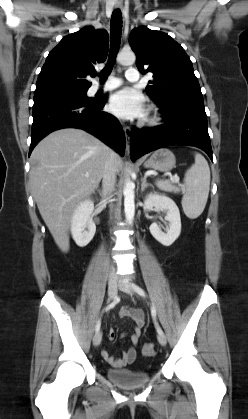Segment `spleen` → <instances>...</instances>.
Returning a JSON list of instances; mask_svg holds the SVG:
<instances>
[{"label": "spleen", "mask_w": 248, "mask_h": 419, "mask_svg": "<svg viewBox=\"0 0 248 419\" xmlns=\"http://www.w3.org/2000/svg\"><path fill=\"white\" fill-rule=\"evenodd\" d=\"M163 190H181L182 207L186 216L195 219L201 215L207 203L210 187V168L208 162L199 153H195V163L186 171L184 184L175 188L166 181H158Z\"/></svg>", "instance_id": "1"}]
</instances>
